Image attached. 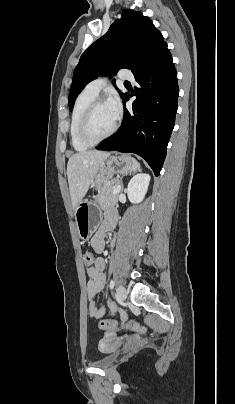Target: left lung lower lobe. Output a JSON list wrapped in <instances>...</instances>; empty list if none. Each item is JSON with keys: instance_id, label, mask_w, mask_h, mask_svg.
<instances>
[{"instance_id": "0a47b994", "label": "left lung lower lobe", "mask_w": 235, "mask_h": 404, "mask_svg": "<svg viewBox=\"0 0 235 404\" xmlns=\"http://www.w3.org/2000/svg\"><path fill=\"white\" fill-rule=\"evenodd\" d=\"M133 74L140 86L134 91L132 111L124 109L119 130L97 149L138 154L158 176L174 128L179 94L177 72L167 44ZM129 98L128 94L123 102Z\"/></svg>"}]
</instances>
